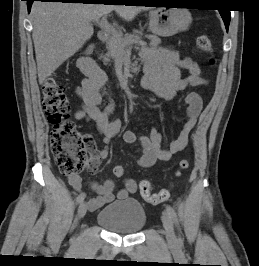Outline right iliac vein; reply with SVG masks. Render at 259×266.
I'll return each instance as SVG.
<instances>
[{"instance_id":"63e3f726","label":"right iliac vein","mask_w":259,"mask_h":266,"mask_svg":"<svg viewBox=\"0 0 259 266\" xmlns=\"http://www.w3.org/2000/svg\"><path fill=\"white\" fill-rule=\"evenodd\" d=\"M87 212V205L85 203H81L78 208V218L82 219Z\"/></svg>"}]
</instances>
